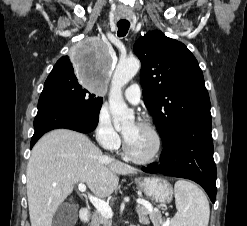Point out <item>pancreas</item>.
<instances>
[{"label": "pancreas", "mask_w": 247, "mask_h": 226, "mask_svg": "<svg viewBox=\"0 0 247 226\" xmlns=\"http://www.w3.org/2000/svg\"><path fill=\"white\" fill-rule=\"evenodd\" d=\"M136 211L139 222L142 224H148L150 220L153 223H159L161 221V215L159 213H150L143 206H137ZM90 226H112V220L104 217L99 211H95L91 216Z\"/></svg>", "instance_id": "pancreas-1"}]
</instances>
